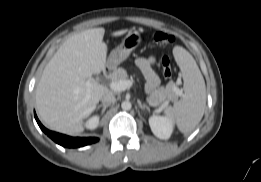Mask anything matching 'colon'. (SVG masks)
<instances>
[{
    "instance_id": "colon-1",
    "label": "colon",
    "mask_w": 261,
    "mask_h": 182,
    "mask_svg": "<svg viewBox=\"0 0 261 182\" xmlns=\"http://www.w3.org/2000/svg\"><path fill=\"white\" fill-rule=\"evenodd\" d=\"M152 40L156 46L163 48L170 46L174 42V37L170 33L156 31L152 35ZM161 68L165 79H170L172 77V67L170 58L167 55H164L161 59Z\"/></svg>"
}]
</instances>
